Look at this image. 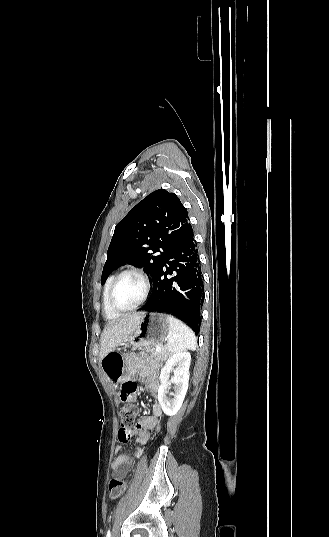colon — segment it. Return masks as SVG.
<instances>
[{"label": "colon", "instance_id": "5ec220e1", "mask_svg": "<svg viewBox=\"0 0 329 537\" xmlns=\"http://www.w3.org/2000/svg\"><path fill=\"white\" fill-rule=\"evenodd\" d=\"M130 381V380H128ZM134 399L129 400L128 404H126L121 409V430H131L133 426H139L136 422V417L138 414V408L134 405ZM126 484L123 480L119 478H113L109 483V495L112 499L118 498L125 490Z\"/></svg>", "mask_w": 329, "mask_h": 537}]
</instances>
